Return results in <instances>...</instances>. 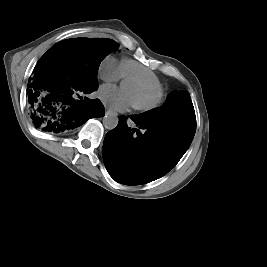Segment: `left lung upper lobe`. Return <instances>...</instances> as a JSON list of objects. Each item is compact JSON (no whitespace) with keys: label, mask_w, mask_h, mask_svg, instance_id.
Instances as JSON below:
<instances>
[{"label":"left lung upper lobe","mask_w":267,"mask_h":267,"mask_svg":"<svg viewBox=\"0 0 267 267\" xmlns=\"http://www.w3.org/2000/svg\"><path fill=\"white\" fill-rule=\"evenodd\" d=\"M147 123L173 125L191 133L196 130V116L188 91L172 92L160 108L136 115Z\"/></svg>","instance_id":"1"}]
</instances>
